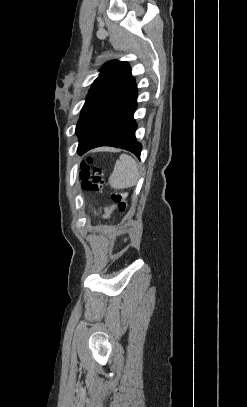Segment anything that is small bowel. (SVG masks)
Segmentation results:
<instances>
[{
  "mask_svg": "<svg viewBox=\"0 0 247 407\" xmlns=\"http://www.w3.org/2000/svg\"><path fill=\"white\" fill-rule=\"evenodd\" d=\"M110 212H111L110 209L106 210L104 217H105V218H108L109 215H110Z\"/></svg>",
  "mask_w": 247,
  "mask_h": 407,
  "instance_id": "1",
  "label": "small bowel"
}]
</instances>
